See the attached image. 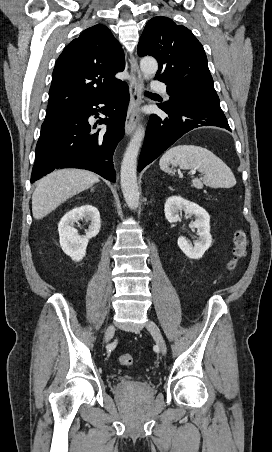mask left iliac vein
I'll return each mask as SVG.
<instances>
[{
	"label": "left iliac vein",
	"mask_w": 272,
	"mask_h": 452,
	"mask_svg": "<svg viewBox=\"0 0 272 452\" xmlns=\"http://www.w3.org/2000/svg\"><path fill=\"white\" fill-rule=\"evenodd\" d=\"M147 330L153 335L156 345L158 346L160 353L162 355H166L167 353V346H166V342L162 336V333L159 329V327L157 326V324L151 320L148 321L147 325H146Z\"/></svg>",
	"instance_id": "obj_1"
}]
</instances>
